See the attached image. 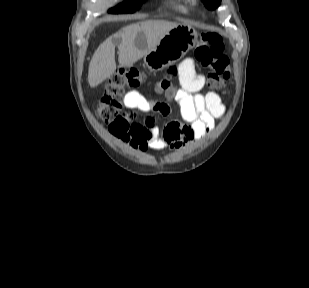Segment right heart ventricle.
<instances>
[{
  "mask_svg": "<svg viewBox=\"0 0 309 288\" xmlns=\"http://www.w3.org/2000/svg\"><path fill=\"white\" fill-rule=\"evenodd\" d=\"M178 9H179L180 11H183V12L186 11L185 8H183L182 6H178Z\"/></svg>",
  "mask_w": 309,
  "mask_h": 288,
  "instance_id": "e07e8e85",
  "label": "right heart ventricle"
}]
</instances>
